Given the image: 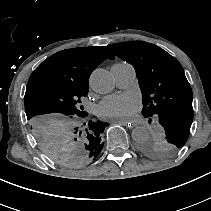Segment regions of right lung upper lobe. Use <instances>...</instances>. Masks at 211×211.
I'll return each instance as SVG.
<instances>
[{
  "label": "right lung upper lobe",
  "instance_id": "obj_1",
  "mask_svg": "<svg viewBox=\"0 0 211 211\" xmlns=\"http://www.w3.org/2000/svg\"><path fill=\"white\" fill-rule=\"evenodd\" d=\"M112 52L104 46L67 49L44 60L31 74L27 88L42 81L71 83L89 87L92 71L105 59H114Z\"/></svg>",
  "mask_w": 211,
  "mask_h": 211
}]
</instances>
